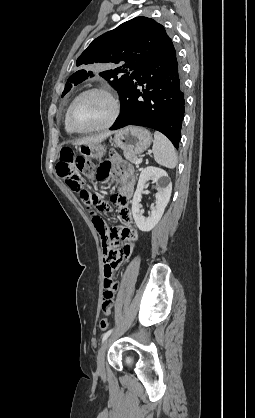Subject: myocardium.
<instances>
[{"instance_id":"myocardium-1","label":"myocardium","mask_w":255,"mask_h":418,"mask_svg":"<svg viewBox=\"0 0 255 418\" xmlns=\"http://www.w3.org/2000/svg\"><path fill=\"white\" fill-rule=\"evenodd\" d=\"M91 93L103 94L110 100L111 105H112L111 115L105 123H103L99 126L92 127V128H86V129L77 128L72 123V112H73L74 107L77 104V102L82 97H84L88 94H91ZM119 113H120L119 102L111 91H109L108 89L102 88V87H92V88H88V89L82 91L81 93H79L73 99V101L71 102V104L69 105V107L67 109L66 122H67L68 127L75 133L86 134V133L100 132V131H104V130H107L110 127H112L113 124L116 122V120L119 116Z\"/></svg>"}]
</instances>
